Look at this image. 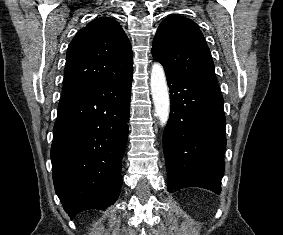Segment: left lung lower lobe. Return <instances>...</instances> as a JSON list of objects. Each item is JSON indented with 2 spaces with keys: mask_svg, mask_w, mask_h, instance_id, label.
I'll list each match as a JSON object with an SVG mask.
<instances>
[{
  "mask_svg": "<svg viewBox=\"0 0 283 235\" xmlns=\"http://www.w3.org/2000/svg\"><path fill=\"white\" fill-rule=\"evenodd\" d=\"M166 77L171 102L163 135L168 190L201 187L219 194L226 146L220 88L175 73Z\"/></svg>",
  "mask_w": 283,
  "mask_h": 235,
  "instance_id": "obj_1",
  "label": "left lung lower lobe"
}]
</instances>
